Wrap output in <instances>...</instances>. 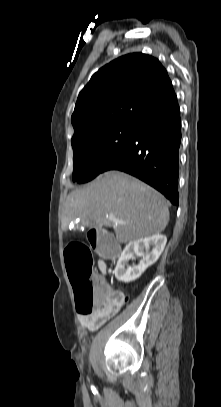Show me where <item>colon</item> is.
<instances>
[{"mask_svg": "<svg viewBox=\"0 0 221 407\" xmlns=\"http://www.w3.org/2000/svg\"><path fill=\"white\" fill-rule=\"evenodd\" d=\"M90 248L81 242L70 243L65 251L69 279L73 285L77 310L82 316L93 313H113L128 300V296L115 293L101 285L93 274V258L103 255L104 261H117V240L110 230H98L96 225L87 228Z\"/></svg>", "mask_w": 221, "mask_h": 407, "instance_id": "colon-1", "label": "colon"}]
</instances>
